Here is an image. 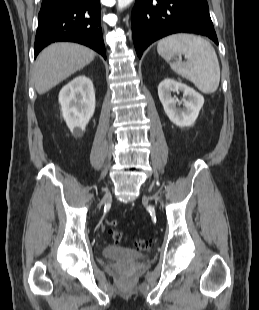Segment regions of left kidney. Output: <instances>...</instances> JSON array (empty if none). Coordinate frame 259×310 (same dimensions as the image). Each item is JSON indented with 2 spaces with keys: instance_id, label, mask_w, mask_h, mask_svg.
Here are the masks:
<instances>
[{
  "instance_id": "left-kidney-1",
  "label": "left kidney",
  "mask_w": 259,
  "mask_h": 310,
  "mask_svg": "<svg viewBox=\"0 0 259 310\" xmlns=\"http://www.w3.org/2000/svg\"><path fill=\"white\" fill-rule=\"evenodd\" d=\"M178 91H182L184 95L181 101L171 95L172 92ZM158 95L170 121L181 128L192 126L195 123L204 104V98L200 93L173 79H164L159 84ZM181 103H183V108H177V104Z\"/></svg>"
}]
</instances>
